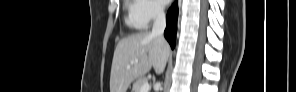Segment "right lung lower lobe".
<instances>
[{"label": "right lung lower lobe", "mask_w": 296, "mask_h": 92, "mask_svg": "<svg viewBox=\"0 0 296 92\" xmlns=\"http://www.w3.org/2000/svg\"><path fill=\"white\" fill-rule=\"evenodd\" d=\"M177 18H178V8L175 3L171 9H169L166 17V29L164 31V36L170 43L173 49L176 42V30H177Z\"/></svg>", "instance_id": "right-lung-lower-lobe-1"}]
</instances>
